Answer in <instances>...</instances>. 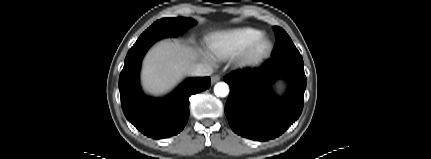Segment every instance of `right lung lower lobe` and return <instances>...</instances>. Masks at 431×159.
Listing matches in <instances>:
<instances>
[{
    "label": "right lung lower lobe",
    "mask_w": 431,
    "mask_h": 159,
    "mask_svg": "<svg viewBox=\"0 0 431 159\" xmlns=\"http://www.w3.org/2000/svg\"><path fill=\"white\" fill-rule=\"evenodd\" d=\"M157 40L136 42L128 51L119 79L122 109L125 117L141 133L163 139L180 133L189 118V97L210 87V78H190L169 96L149 98L139 86L142 58Z\"/></svg>",
    "instance_id": "obj_1"
}]
</instances>
